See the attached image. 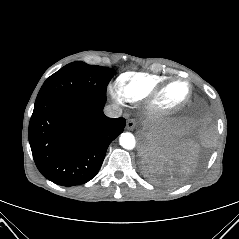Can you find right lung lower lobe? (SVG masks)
Returning a JSON list of instances; mask_svg holds the SVG:
<instances>
[{
	"label": "right lung lower lobe",
	"mask_w": 239,
	"mask_h": 239,
	"mask_svg": "<svg viewBox=\"0 0 239 239\" xmlns=\"http://www.w3.org/2000/svg\"><path fill=\"white\" fill-rule=\"evenodd\" d=\"M105 100L57 96L35 102L29 143L38 170L58 185L84 184L96 176L124 118H108Z\"/></svg>",
	"instance_id": "right-lung-lower-lobe-1"
}]
</instances>
